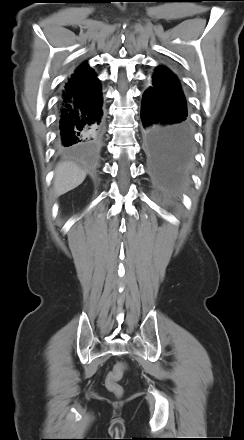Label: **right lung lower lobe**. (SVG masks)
<instances>
[{
	"label": "right lung lower lobe",
	"mask_w": 244,
	"mask_h": 440,
	"mask_svg": "<svg viewBox=\"0 0 244 440\" xmlns=\"http://www.w3.org/2000/svg\"><path fill=\"white\" fill-rule=\"evenodd\" d=\"M103 128L102 95L83 101L60 102L57 122L58 147L75 150L97 139Z\"/></svg>",
	"instance_id": "obj_1"
}]
</instances>
